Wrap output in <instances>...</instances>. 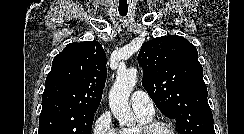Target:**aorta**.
I'll use <instances>...</instances> for the list:
<instances>
[{
  "label": "aorta",
  "mask_w": 244,
  "mask_h": 134,
  "mask_svg": "<svg viewBox=\"0 0 244 134\" xmlns=\"http://www.w3.org/2000/svg\"><path fill=\"white\" fill-rule=\"evenodd\" d=\"M137 69H118L116 82L109 92V106L120 125H130L134 121L129 96L137 83Z\"/></svg>",
  "instance_id": "aorta-1"
}]
</instances>
